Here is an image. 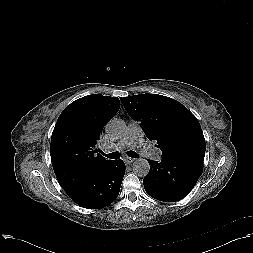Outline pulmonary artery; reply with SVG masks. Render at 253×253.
Segmentation results:
<instances>
[{
    "label": "pulmonary artery",
    "mask_w": 253,
    "mask_h": 253,
    "mask_svg": "<svg viewBox=\"0 0 253 253\" xmlns=\"http://www.w3.org/2000/svg\"><path fill=\"white\" fill-rule=\"evenodd\" d=\"M137 148L141 152L154 160L161 159V151L155 148L150 147L148 144H145L143 133L140 127L136 123H130L127 127L124 137L116 144L108 146L104 149L106 153L122 151L127 148Z\"/></svg>",
    "instance_id": "e3ab8cb5"
}]
</instances>
